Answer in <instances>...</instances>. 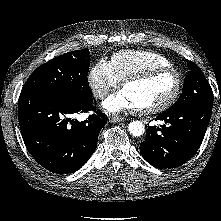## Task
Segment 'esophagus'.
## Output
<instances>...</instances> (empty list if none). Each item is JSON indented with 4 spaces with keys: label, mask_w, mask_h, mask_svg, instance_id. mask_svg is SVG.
Wrapping results in <instances>:
<instances>
[{
    "label": "esophagus",
    "mask_w": 221,
    "mask_h": 221,
    "mask_svg": "<svg viewBox=\"0 0 221 221\" xmlns=\"http://www.w3.org/2000/svg\"><path fill=\"white\" fill-rule=\"evenodd\" d=\"M108 120H109V122H111V123H116V122L124 121V118H123V117H120V116L110 115V116H108Z\"/></svg>",
    "instance_id": "obj_1"
}]
</instances>
